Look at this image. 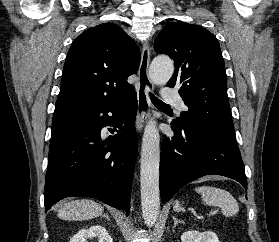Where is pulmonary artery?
<instances>
[{
  "instance_id": "obj_1",
  "label": "pulmonary artery",
  "mask_w": 279,
  "mask_h": 242,
  "mask_svg": "<svg viewBox=\"0 0 279 242\" xmlns=\"http://www.w3.org/2000/svg\"><path fill=\"white\" fill-rule=\"evenodd\" d=\"M162 95L165 102L177 107L181 111L186 109V106L184 105L181 96L174 90L165 87Z\"/></svg>"
}]
</instances>
